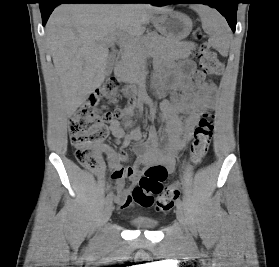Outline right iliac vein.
Here are the masks:
<instances>
[{
    "label": "right iliac vein",
    "instance_id": "63e3f726",
    "mask_svg": "<svg viewBox=\"0 0 279 267\" xmlns=\"http://www.w3.org/2000/svg\"><path fill=\"white\" fill-rule=\"evenodd\" d=\"M112 211H113V206L112 203H108L105 207L103 216H102V220H101V224H105L111 217L112 215Z\"/></svg>",
    "mask_w": 279,
    "mask_h": 267
}]
</instances>
